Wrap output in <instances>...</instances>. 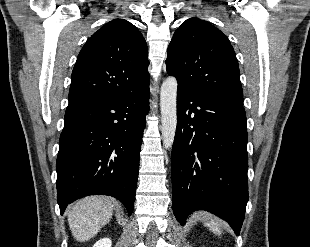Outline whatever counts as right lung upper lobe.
Instances as JSON below:
<instances>
[{
  "label": "right lung upper lobe",
  "instance_id": "obj_1",
  "mask_svg": "<svg viewBox=\"0 0 310 247\" xmlns=\"http://www.w3.org/2000/svg\"><path fill=\"white\" fill-rule=\"evenodd\" d=\"M147 45L124 19L106 23L81 49L72 72L69 104L128 95L149 86Z\"/></svg>",
  "mask_w": 310,
  "mask_h": 247
}]
</instances>
